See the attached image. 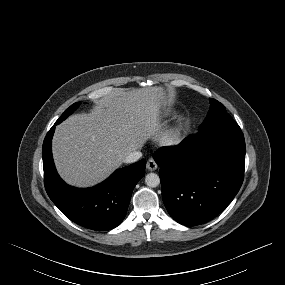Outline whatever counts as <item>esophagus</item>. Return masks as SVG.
Instances as JSON below:
<instances>
[{"mask_svg":"<svg viewBox=\"0 0 285 285\" xmlns=\"http://www.w3.org/2000/svg\"><path fill=\"white\" fill-rule=\"evenodd\" d=\"M157 163L153 159L147 161V169L150 171H155L157 169Z\"/></svg>","mask_w":285,"mask_h":285,"instance_id":"esophagus-1","label":"esophagus"}]
</instances>
